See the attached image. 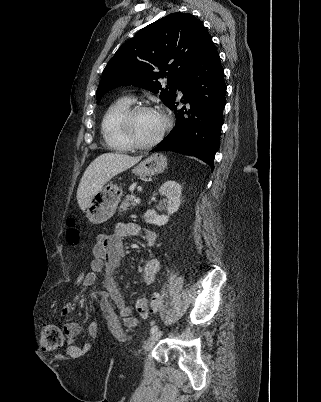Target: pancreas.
Returning <instances> with one entry per match:
<instances>
[{
    "label": "pancreas",
    "instance_id": "cf45deb5",
    "mask_svg": "<svg viewBox=\"0 0 321 402\" xmlns=\"http://www.w3.org/2000/svg\"><path fill=\"white\" fill-rule=\"evenodd\" d=\"M134 206H136L134 198L131 196H126V198L120 204L119 214H122V212H126L128 209H132Z\"/></svg>",
    "mask_w": 321,
    "mask_h": 402
}]
</instances>
